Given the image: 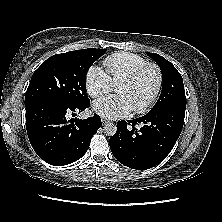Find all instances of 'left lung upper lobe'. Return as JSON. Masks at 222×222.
I'll return each mask as SVG.
<instances>
[{"mask_svg": "<svg viewBox=\"0 0 222 222\" xmlns=\"http://www.w3.org/2000/svg\"><path fill=\"white\" fill-rule=\"evenodd\" d=\"M152 59L159 65L163 74L162 91L158 101L151 110L158 109L170 103L186 104V96L184 91L183 79L174 65L164 57L149 53Z\"/></svg>", "mask_w": 222, "mask_h": 222, "instance_id": "1", "label": "left lung upper lobe"}]
</instances>
